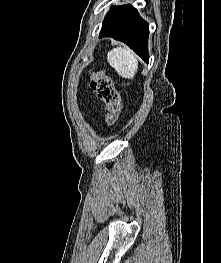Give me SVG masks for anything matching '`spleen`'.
<instances>
[{
    "label": "spleen",
    "instance_id": "1",
    "mask_svg": "<svg viewBox=\"0 0 221 263\" xmlns=\"http://www.w3.org/2000/svg\"><path fill=\"white\" fill-rule=\"evenodd\" d=\"M107 61L118 75L125 79H133L138 69L137 57L128 48L116 47L112 49L107 54Z\"/></svg>",
    "mask_w": 221,
    "mask_h": 263
}]
</instances>
